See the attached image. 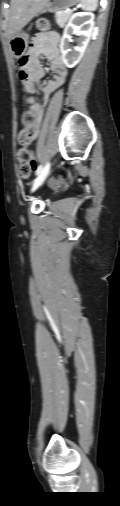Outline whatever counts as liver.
Wrapping results in <instances>:
<instances>
[{"mask_svg":"<svg viewBox=\"0 0 120 506\" xmlns=\"http://www.w3.org/2000/svg\"><path fill=\"white\" fill-rule=\"evenodd\" d=\"M48 0H11L7 17V37L10 40L29 21L46 7Z\"/></svg>","mask_w":120,"mask_h":506,"instance_id":"6515ba94","label":"liver"}]
</instances>
